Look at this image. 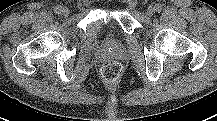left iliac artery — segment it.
<instances>
[{"label":"left iliac artery","mask_w":217,"mask_h":121,"mask_svg":"<svg viewBox=\"0 0 217 121\" xmlns=\"http://www.w3.org/2000/svg\"><path fill=\"white\" fill-rule=\"evenodd\" d=\"M162 5L160 3L156 4V11L160 12L162 10Z\"/></svg>","instance_id":"44dca946"}]
</instances>
